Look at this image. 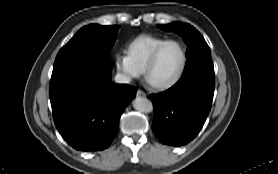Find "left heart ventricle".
<instances>
[{
	"mask_svg": "<svg viewBox=\"0 0 278 174\" xmlns=\"http://www.w3.org/2000/svg\"><path fill=\"white\" fill-rule=\"evenodd\" d=\"M182 61V52L179 45L171 43L160 52L151 72L150 79L153 82H165L170 80L178 72Z\"/></svg>",
	"mask_w": 278,
	"mask_h": 174,
	"instance_id": "b2bd125f",
	"label": "left heart ventricle"
}]
</instances>
